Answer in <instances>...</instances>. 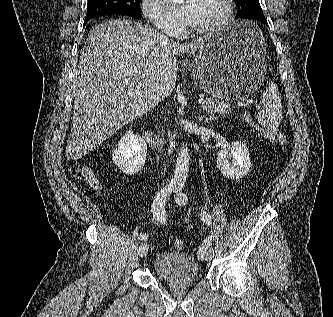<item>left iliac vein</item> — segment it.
Here are the masks:
<instances>
[{"label": "left iliac vein", "instance_id": "left-iliac-vein-1", "mask_svg": "<svg viewBox=\"0 0 333 317\" xmlns=\"http://www.w3.org/2000/svg\"><path fill=\"white\" fill-rule=\"evenodd\" d=\"M213 256H214V253H213V251L210 249V250H208V251L206 252V254H205V259H206L207 261H211V260L213 259Z\"/></svg>", "mask_w": 333, "mask_h": 317}]
</instances>
